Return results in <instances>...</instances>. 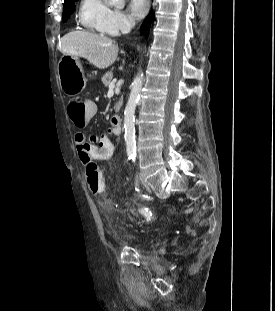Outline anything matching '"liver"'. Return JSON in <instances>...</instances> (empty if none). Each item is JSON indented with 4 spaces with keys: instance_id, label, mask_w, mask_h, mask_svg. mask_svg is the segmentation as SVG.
Returning <instances> with one entry per match:
<instances>
[{
    "instance_id": "obj_1",
    "label": "liver",
    "mask_w": 275,
    "mask_h": 311,
    "mask_svg": "<svg viewBox=\"0 0 275 311\" xmlns=\"http://www.w3.org/2000/svg\"><path fill=\"white\" fill-rule=\"evenodd\" d=\"M63 55L83 57L99 69L112 65L118 55L119 47L109 37L89 31H72L59 41Z\"/></svg>"
}]
</instances>
